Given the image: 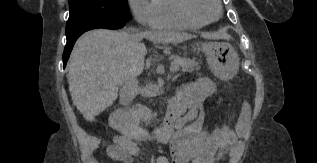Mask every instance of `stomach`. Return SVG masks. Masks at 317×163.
I'll list each match as a JSON object with an SVG mask.
<instances>
[{
    "label": "stomach",
    "mask_w": 317,
    "mask_h": 163,
    "mask_svg": "<svg viewBox=\"0 0 317 163\" xmlns=\"http://www.w3.org/2000/svg\"><path fill=\"white\" fill-rule=\"evenodd\" d=\"M194 52H204L213 73L220 79L231 78L238 70L239 57L228 43L209 42L193 47Z\"/></svg>",
    "instance_id": "stomach-1"
}]
</instances>
